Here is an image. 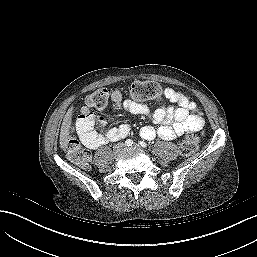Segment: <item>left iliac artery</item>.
Returning <instances> with one entry per match:
<instances>
[{"label":"left iliac artery","mask_w":257,"mask_h":257,"mask_svg":"<svg viewBox=\"0 0 257 257\" xmlns=\"http://www.w3.org/2000/svg\"><path fill=\"white\" fill-rule=\"evenodd\" d=\"M139 145L143 148L147 147V144L144 141H140Z\"/></svg>","instance_id":"1"}]
</instances>
